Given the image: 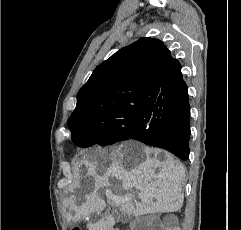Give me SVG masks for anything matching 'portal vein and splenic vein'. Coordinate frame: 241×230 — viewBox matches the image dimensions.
Listing matches in <instances>:
<instances>
[{
	"label": "portal vein and splenic vein",
	"mask_w": 241,
	"mask_h": 230,
	"mask_svg": "<svg viewBox=\"0 0 241 230\" xmlns=\"http://www.w3.org/2000/svg\"><path fill=\"white\" fill-rule=\"evenodd\" d=\"M106 196H107L109 199H112L113 194H112V192L108 191V192H106Z\"/></svg>",
	"instance_id": "18ae733b"
}]
</instances>
